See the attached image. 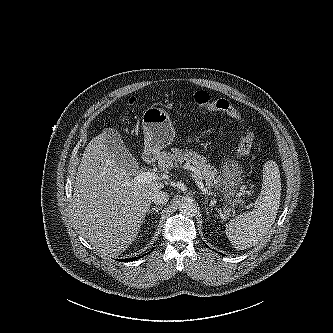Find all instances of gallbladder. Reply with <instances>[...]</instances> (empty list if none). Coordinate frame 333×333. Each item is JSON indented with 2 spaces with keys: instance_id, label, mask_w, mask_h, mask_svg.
I'll return each mask as SVG.
<instances>
[{
  "instance_id": "bac80fb5",
  "label": "gallbladder",
  "mask_w": 333,
  "mask_h": 333,
  "mask_svg": "<svg viewBox=\"0 0 333 333\" xmlns=\"http://www.w3.org/2000/svg\"><path fill=\"white\" fill-rule=\"evenodd\" d=\"M104 133L109 135L105 141V144L108 146L109 155L119 166L125 168L127 171L135 172L139 167L138 162L127 150L118 133L114 129H106Z\"/></svg>"
}]
</instances>
